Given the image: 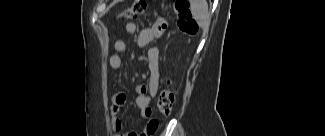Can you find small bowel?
<instances>
[{
    "instance_id": "c3829d8e",
    "label": "small bowel",
    "mask_w": 325,
    "mask_h": 136,
    "mask_svg": "<svg viewBox=\"0 0 325 136\" xmlns=\"http://www.w3.org/2000/svg\"><path fill=\"white\" fill-rule=\"evenodd\" d=\"M165 24L158 22L154 26L141 30L137 36V44L140 48H146L152 41L160 38L165 32ZM127 34H134L137 30L135 23H127L124 27ZM126 51V44L123 40H116L113 44V53L109 58V65L112 69H119L122 65V55ZM148 68L149 78L147 83L138 85L134 88L135 104L140 110L142 117L146 120V126L142 133L138 134L134 131H128L125 136H149L156 132L158 121L152 117L151 101L155 96L159 85V53L156 48L148 50ZM126 101V94L118 92L114 95L111 105V113L113 115L112 128L120 134L123 130V123L117 117L121 107Z\"/></svg>"
}]
</instances>
